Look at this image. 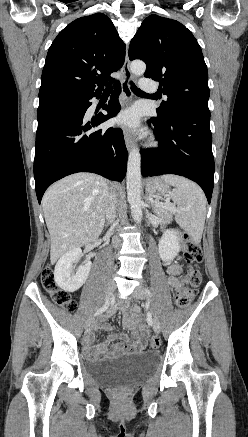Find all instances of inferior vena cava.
Listing matches in <instances>:
<instances>
[{"label":"inferior vena cava","mask_w":248,"mask_h":437,"mask_svg":"<svg viewBox=\"0 0 248 437\" xmlns=\"http://www.w3.org/2000/svg\"><path fill=\"white\" fill-rule=\"evenodd\" d=\"M116 195L113 192H110L108 195V199L106 202L105 215L108 223H112L116 218ZM120 240L116 237L113 239V244L118 246Z\"/></svg>","instance_id":"1"}]
</instances>
